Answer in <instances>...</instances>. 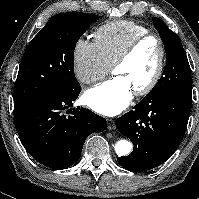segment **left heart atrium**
I'll return each instance as SVG.
<instances>
[{
  "mask_svg": "<svg viewBox=\"0 0 199 199\" xmlns=\"http://www.w3.org/2000/svg\"><path fill=\"white\" fill-rule=\"evenodd\" d=\"M84 100L95 112L105 116H115L130 104L132 90L122 77L115 76L88 89Z\"/></svg>",
  "mask_w": 199,
  "mask_h": 199,
  "instance_id": "left-heart-atrium-1",
  "label": "left heart atrium"
}]
</instances>
